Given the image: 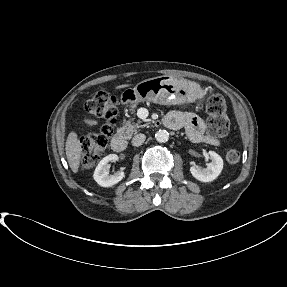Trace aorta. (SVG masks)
<instances>
[{
    "label": "aorta",
    "instance_id": "obj_1",
    "mask_svg": "<svg viewBox=\"0 0 287 287\" xmlns=\"http://www.w3.org/2000/svg\"><path fill=\"white\" fill-rule=\"evenodd\" d=\"M155 139L159 143H165L169 140V133L166 130H159L155 134Z\"/></svg>",
    "mask_w": 287,
    "mask_h": 287
}]
</instances>
